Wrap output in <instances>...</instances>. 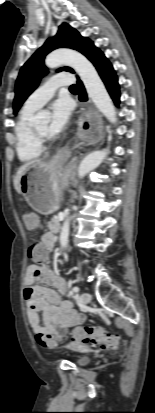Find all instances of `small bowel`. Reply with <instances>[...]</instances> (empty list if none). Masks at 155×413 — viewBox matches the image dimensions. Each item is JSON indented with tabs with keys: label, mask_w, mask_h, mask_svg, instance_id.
<instances>
[{
	"label": "small bowel",
	"mask_w": 155,
	"mask_h": 413,
	"mask_svg": "<svg viewBox=\"0 0 155 413\" xmlns=\"http://www.w3.org/2000/svg\"><path fill=\"white\" fill-rule=\"evenodd\" d=\"M26 217L32 216L31 210L25 211ZM24 227H37V218H24ZM54 236L46 233L42 237V245L46 250L54 246ZM40 281L48 285H37ZM24 299L29 324L37 335L53 341L61 339L72 326L82 323L84 317L77 314L71 301L64 300L62 295L67 289L66 281L52 272L45 265H29L24 278ZM39 313H42V320Z\"/></svg>",
	"instance_id": "obj_1"
}]
</instances>
